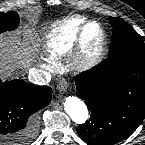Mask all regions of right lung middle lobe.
Masks as SVG:
<instances>
[{"mask_svg": "<svg viewBox=\"0 0 145 145\" xmlns=\"http://www.w3.org/2000/svg\"><path fill=\"white\" fill-rule=\"evenodd\" d=\"M18 24L19 17L16 12L0 13V33L14 30L17 28Z\"/></svg>", "mask_w": 145, "mask_h": 145, "instance_id": "1", "label": "right lung middle lobe"}]
</instances>
